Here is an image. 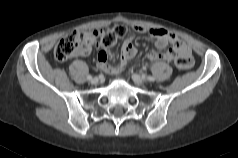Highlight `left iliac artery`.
<instances>
[{
  "label": "left iliac artery",
  "mask_w": 238,
  "mask_h": 158,
  "mask_svg": "<svg viewBox=\"0 0 238 158\" xmlns=\"http://www.w3.org/2000/svg\"><path fill=\"white\" fill-rule=\"evenodd\" d=\"M144 78H146L148 81H154L155 80V78L152 77V76H147V77L144 76Z\"/></svg>",
  "instance_id": "obj_1"
}]
</instances>
